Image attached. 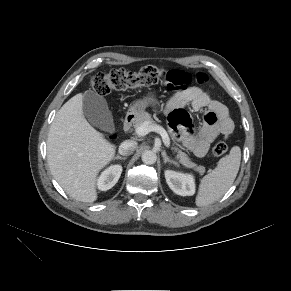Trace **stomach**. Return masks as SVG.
Wrapping results in <instances>:
<instances>
[{
	"label": "stomach",
	"instance_id": "0dacf381",
	"mask_svg": "<svg viewBox=\"0 0 291 291\" xmlns=\"http://www.w3.org/2000/svg\"><path fill=\"white\" fill-rule=\"evenodd\" d=\"M158 105V100L154 93H150L142 99L137 100L129 108V114L139 117L142 113L145 112L148 106L156 107Z\"/></svg>",
	"mask_w": 291,
	"mask_h": 291
}]
</instances>
